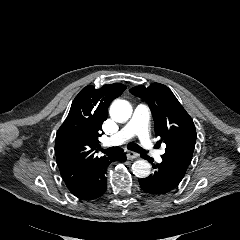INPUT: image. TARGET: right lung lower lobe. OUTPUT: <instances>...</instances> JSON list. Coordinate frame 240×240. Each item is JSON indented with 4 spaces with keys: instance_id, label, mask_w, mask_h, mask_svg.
<instances>
[{
    "instance_id": "right-lung-lower-lobe-1",
    "label": "right lung lower lobe",
    "mask_w": 240,
    "mask_h": 240,
    "mask_svg": "<svg viewBox=\"0 0 240 240\" xmlns=\"http://www.w3.org/2000/svg\"><path fill=\"white\" fill-rule=\"evenodd\" d=\"M126 160L125 154H115L106 158L96 169L87 174L79 184L70 190L76 197L93 200L101 197L107 189L106 170L111 162Z\"/></svg>"
}]
</instances>
